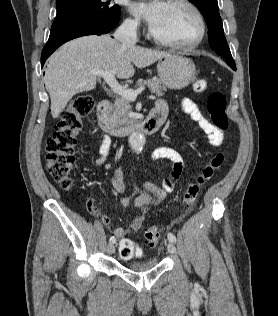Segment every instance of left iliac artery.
<instances>
[{"label":"left iliac artery","mask_w":278,"mask_h":316,"mask_svg":"<svg viewBox=\"0 0 278 316\" xmlns=\"http://www.w3.org/2000/svg\"><path fill=\"white\" fill-rule=\"evenodd\" d=\"M168 240H169L170 242L175 243V242H176V237H175V235H174L173 233H168Z\"/></svg>","instance_id":"obj_1"}]
</instances>
